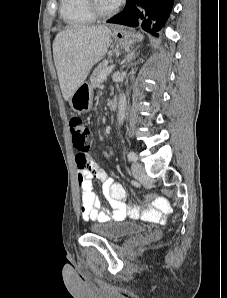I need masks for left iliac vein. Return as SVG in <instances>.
Wrapping results in <instances>:
<instances>
[{
	"mask_svg": "<svg viewBox=\"0 0 227 298\" xmlns=\"http://www.w3.org/2000/svg\"><path fill=\"white\" fill-rule=\"evenodd\" d=\"M132 172L135 177L139 178L144 175L145 170H144V167L140 163L135 161L132 165Z\"/></svg>",
	"mask_w": 227,
	"mask_h": 298,
	"instance_id": "left-iliac-vein-1",
	"label": "left iliac vein"
}]
</instances>
